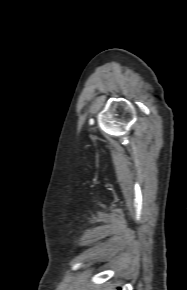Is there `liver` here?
Instances as JSON below:
<instances>
[{"instance_id": "liver-1", "label": "liver", "mask_w": 187, "mask_h": 290, "mask_svg": "<svg viewBox=\"0 0 187 290\" xmlns=\"http://www.w3.org/2000/svg\"><path fill=\"white\" fill-rule=\"evenodd\" d=\"M82 288H88V283H83L82 284ZM79 290V289H78ZM88 290H105V289H102L101 287H91L90 289H88Z\"/></svg>"}]
</instances>
